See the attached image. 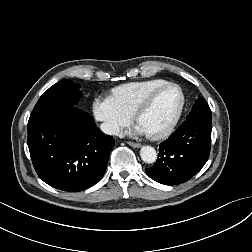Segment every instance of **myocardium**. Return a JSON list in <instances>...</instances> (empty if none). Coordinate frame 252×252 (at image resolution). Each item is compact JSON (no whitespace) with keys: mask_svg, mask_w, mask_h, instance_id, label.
Returning a JSON list of instances; mask_svg holds the SVG:
<instances>
[{"mask_svg":"<svg viewBox=\"0 0 252 252\" xmlns=\"http://www.w3.org/2000/svg\"><path fill=\"white\" fill-rule=\"evenodd\" d=\"M168 87H176L179 89V91L181 93V104H180L179 109L176 112L172 122L165 129H163L159 132L149 133V135L154 139H162V138L168 137L175 130L177 124L179 123V121L183 115V112L185 110V106H186V94H185L182 86L178 83H175V82H166V83L154 88L138 104V106L136 107V109L133 113L136 121H138L140 116L143 114V112H145L152 105L155 97L162 90H164L165 88H168Z\"/></svg>","mask_w":252,"mask_h":252,"instance_id":"f54148a6","label":"myocardium"}]
</instances>
